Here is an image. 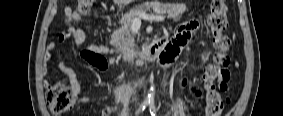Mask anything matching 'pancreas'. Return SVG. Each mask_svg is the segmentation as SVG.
<instances>
[{
	"label": "pancreas",
	"instance_id": "cf45deb5",
	"mask_svg": "<svg viewBox=\"0 0 283 116\" xmlns=\"http://www.w3.org/2000/svg\"><path fill=\"white\" fill-rule=\"evenodd\" d=\"M186 10V6L182 4H162L158 1H152L139 5L124 15L121 20V27L115 30L111 36L112 42L120 51H134L130 27L135 17L140 13L151 12L152 14H166L170 19H176Z\"/></svg>",
	"mask_w": 283,
	"mask_h": 116
}]
</instances>
